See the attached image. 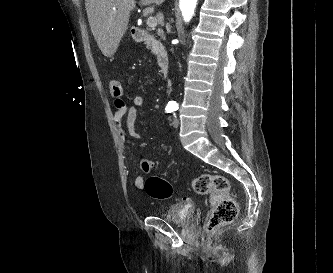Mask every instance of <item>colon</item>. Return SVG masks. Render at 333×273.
Listing matches in <instances>:
<instances>
[{
  "mask_svg": "<svg viewBox=\"0 0 333 273\" xmlns=\"http://www.w3.org/2000/svg\"><path fill=\"white\" fill-rule=\"evenodd\" d=\"M108 90L114 99H121L123 89L119 81L110 80ZM140 167L144 173H149L153 162L150 159H142ZM144 187L147 194L156 199H166L172 194L171 184L159 176L149 177ZM192 188L199 195L210 196V213L205 224L207 231H214L221 225L235 220L238 206L229 194V181L226 177L217 174H201L193 180Z\"/></svg>",
  "mask_w": 333,
  "mask_h": 273,
  "instance_id": "obj_1",
  "label": "colon"
}]
</instances>
